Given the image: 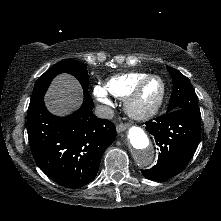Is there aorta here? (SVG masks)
<instances>
[{"label":"aorta","instance_id":"762f6f07","mask_svg":"<svg viewBox=\"0 0 221 221\" xmlns=\"http://www.w3.org/2000/svg\"><path fill=\"white\" fill-rule=\"evenodd\" d=\"M128 143L139 166L148 167L153 163L155 152L147 134L141 127L129 128Z\"/></svg>","mask_w":221,"mask_h":221}]
</instances>
